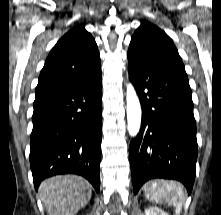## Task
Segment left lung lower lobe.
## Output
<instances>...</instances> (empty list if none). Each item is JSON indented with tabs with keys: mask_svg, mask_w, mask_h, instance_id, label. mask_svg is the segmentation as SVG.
<instances>
[{
	"mask_svg": "<svg viewBox=\"0 0 221 215\" xmlns=\"http://www.w3.org/2000/svg\"><path fill=\"white\" fill-rule=\"evenodd\" d=\"M128 62L142 107L141 130L129 149L134 193L149 179L165 178L182 182L190 194L198 149L186 72L129 56Z\"/></svg>",
	"mask_w": 221,
	"mask_h": 215,
	"instance_id": "1",
	"label": "left lung lower lobe"
}]
</instances>
